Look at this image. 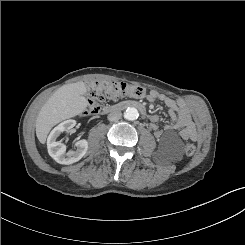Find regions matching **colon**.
<instances>
[{"instance_id":"obj_1","label":"colon","mask_w":245,"mask_h":245,"mask_svg":"<svg viewBox=\"0 0 245 245\" xmlns=\"http://www.w3.org/2000/svg\"><path fill=\"white\" fill-rule=\"evenodd\" d=\"M145 89L119 81H101L93 83L88 90L87 113L94 114L99 112L101 105L106 101H117L123 97H142ZM196 151L195 145L188 143L185 145L184 154L191 157Z\"/></svg>"}]
</instances>
